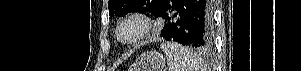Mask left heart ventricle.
I'll use <instances>...</instances> for the list:
<instances>
[{"label":"left heart ventricle","mask_w":301,"mask_h":71,"mask_svg":"<svg viewBox=\"0 0 301 71\" xmlns=\"http://www.w3.org/2000/svg\"><path fill=\"white\" fill-rule=\"evenodd\" d=\"M134 32H135V26L128 25L122 29V36L124 38H129L134 34Z\"/></svg>","instance_id":"obj_1"}]
</instances>
